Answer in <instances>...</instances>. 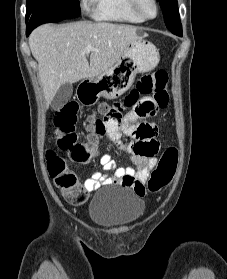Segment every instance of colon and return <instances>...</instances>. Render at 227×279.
<instances>
[{
	"label": "colon",
	"instance_id": "5ec220e1",
	"mask_svg": "<svg viewBox=\"0 0 227 279\" xmlns=\"http://www.w3.org/2000/svg\"><path fill=\"white\" fill-rule=\"evenodd\" d=\"M168 77L162 71L143 76L125 97L124 101L116 102L112 106L102 105V112L106 117L94 116L92 126L95 135L105 130V123L110 124L109 130L118 133L120 130L119 112L125 107L136 106V116L139 118L154 114L158 109L167 106L169 96L166 91ZM79 108L76 102L70 101L57 109L53 116V134L61 150L67 154H61L50 150L46 155V163L51 178L58 180L57 187L62 195L71 201L78 202L81 183L77 175L67 166L69 158L79 162L88 163L97 153L95 145L87 146L79 141L75 132ZM107 120V121H106ZM139 139L134 146V152L142 157L151 158L157 151L158 146L150 141L154 130L147 125H139L132 131ZM178 151L174 146L168 147L161 156L156 168L152 171L147 187L152 192H157L168 186L177 170ZM125 185L134 189L137 195L145 194L140 180L130 178Z\"/></svg>",
	"mask_w": 227,
	"mask_h": 279
}]
</instances>
